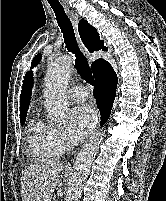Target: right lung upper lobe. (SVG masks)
<instances>
[{
	"mask_svg": "<svg viewBox=\"0 0 166 201\" xmlns=\"http://www.w3.org/2000/svg\"><path fill=\"white\" fill-rule=\"evenodd\" d=\"M78 30L80 33V37L85 46L88 48L89 52L92 53L100 49L107 51V48L104 47V41L100 40L97 30L93 26H91L86 20L79 21ZM104 62L106 61L103 59H97L94 63H92L93 73H95ZM32 84V73L27 72L24 78L20 96V118L26 117L27 115V110L31 97Z\"/></svg>",
	"mask_w": 166,
	"mask_h": 201,
	"instance_id": "1",
	"label": "right lung upper lobe"
}]
</instances>
